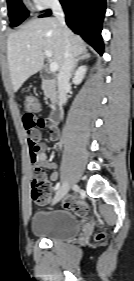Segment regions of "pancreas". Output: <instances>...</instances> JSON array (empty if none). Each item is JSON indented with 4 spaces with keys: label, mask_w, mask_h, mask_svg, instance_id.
Listing matches in <instances>:
<instances>
[{
    "label": "pancreas",
    "mask_w": 134,
    "mask_h": 281,
    "mask_svg": "<svg viewBox=\"0 0 134 281\" xmlns=\"http://www.w3.org/2000/svg\"><path fill=\"white\" fill-rule=\"evenodd\" d=\"M42 90L46 97L50 98L52 101L56 100V92L50 81H44L42 83Z\"/></svg>",
    "instance_id": "obj_1"
}]
</instances>
